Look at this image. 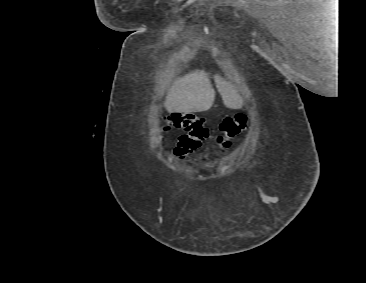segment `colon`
Wrapping results in <instances>:
<instances>
[{
	"mask_svg": "<svg viewBox=\"0 0 366 283\" xmlns=\"http://www.w3.org/2000/svg\"><path fill=\"white\" fill-rule=\"evenodd\" d=\"M165 129H183L184 133L179 136L174 148V154L179 158H185L196 149L209 136V130L202 117L192 113H172L165 117ZM247 126V118L238 113L226 117L220 124V134L217 136V145L230 144L231 140L242 132Z\"/></svg>",
	"mask_w": 366,
	"mask_h": 283,
	"instance_id": "obj_1",
	"label": "colon"
}]
</instances>
